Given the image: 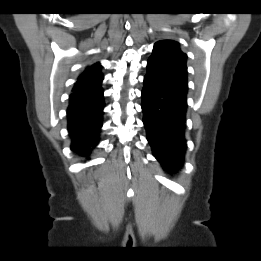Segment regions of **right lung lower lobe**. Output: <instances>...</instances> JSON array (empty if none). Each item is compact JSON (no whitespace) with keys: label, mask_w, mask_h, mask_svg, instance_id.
<instances>
[{"label":"right lung lower lobe","mask_w":261,"mask_h":261,"mask_svg":"<svg viewBox=\"0 0 261 261\" xmlns=\"http://www.w3.org/2000/svg\"><path fill=\"white\" fill-rule=\"evenodd\" d=\"M104 106L100 85L91 89L74 90L70 95L67 109L68 130L72 138L71 150L78 155H90L97 145Z\"/></svg>","instance_id":"right-lung-lower-lobe-1"}]
</instances>
